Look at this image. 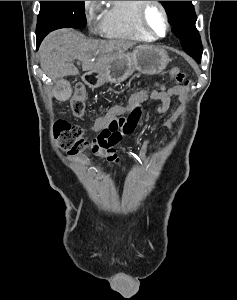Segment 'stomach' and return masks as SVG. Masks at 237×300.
<instances>
[{
  "instance_id": "1",
  "label": "stomach",
  "mask_w": 237,
  "mask_h": 300,
  "mask_svg": "<svg viewBox=\"0 0 237 300\" xmlns=\"http://www.w3.org/2000/svg\"><path fill=\"white\" fill-rule=\"evenodd\" d=\"M169 61L165 49L153 45H139L132 53H119L112 63L97 69V85L123 83L133 71H139L143 75H159L166 69Z\"/></svg>"
}]
</instances>
